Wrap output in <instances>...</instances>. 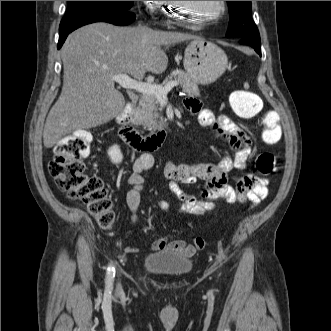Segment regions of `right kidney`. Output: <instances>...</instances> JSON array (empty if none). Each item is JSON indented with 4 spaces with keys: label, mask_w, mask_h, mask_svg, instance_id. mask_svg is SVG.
<instances>
[{
    "label": "right kidney",
    "mask_w": 331,
    "mask_h": 331,
    "mask_svg": "<svg viewBox=\"0 0 331 331\" xmlns=\"http://www.w3.org/2000/svg\"><path fill=\"white\" fill-rule=\"evenodd\" d=\"M108 155L111 161L115 164H118L122 161L123 155L121 153L120 147L118 145H114L109 148Z\"/></svg>",
    "instance_id": "right-kidney-1"
}]
</instances>
